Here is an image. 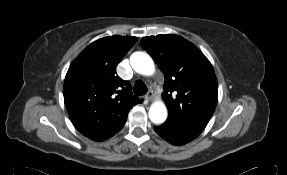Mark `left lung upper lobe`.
Returning a JSON list of instances; mask_svg holds the SVG:
<instances>
[{
    "mask_svg": "<svg viewBox=\"0 0 287 175\" xmlns=\"http://www.w3.org/2000/svg\"><path fill=\"white\" fill-rule=\"evenodd\" d=\"M141 45L165 76L162 96L169 116L164 124L196 138L217 104V79L211 63L194 44L178 35L144 37Z\"/></svg>",
    "mask_w": 287,
    "mask_h": 175,
    "instance_id": "1",
    "label": "left lung upper lobe"
}]
</instances>
